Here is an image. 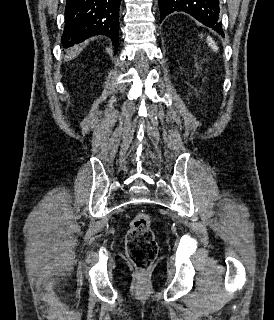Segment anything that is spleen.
I'll return each mask as SVG.
<instances>
[{
    "instance_id": "3e777b00",
    "label": "spleen",
    "mask_w": 274,
    "mask_h": 320,
    "mask_svg": "<svg viewBox=\"0 0 274 320\" xmlns=\"http://www.w3.org/2000/svg\"><path fill=\"white\" fill-rule=\"evenodd\" d=\"M201 36H202V34H201ZM207 44H208V46H210V48H212L213 52H217L218 46H216L213 38H210V36H208V38H207Z\"/></svg>"
}]
</instances>
